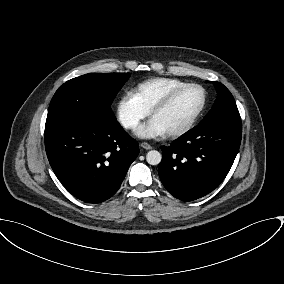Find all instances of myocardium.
<instances>
[{
  "label": "myocardium",
  "instance_id": "obj_1",
  "mask_svg": "<svg viewBox=\"0 0 284 284\" xmlns=\"http://www.w3.org/2000/svg\"><path fill=\"white\" fill-rule=\"evenodd\" d=\"M189 88H198L202 91L203 94L202 103L197 109V111L194 113V115L184 125L176 129L170 130L168 132H165V134L169 137L182 136L187 132H189L194 127V125L202 115L207 104L208 94L206 89L202 85L197 83H186L185 85H182L171 91L167 96H165L161 101H159L150 111V115L153 118L155 114L170 106L180 93H182L183 91Z\"/></svg>",
  "mask_w": 284,
  "mask_h": 284
}]
</instances>
